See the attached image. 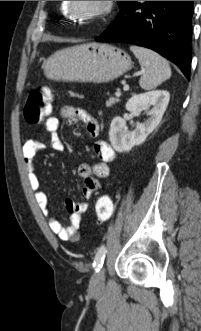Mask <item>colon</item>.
Wrapping results in <instances>:
<instances>
[{
  "label": "colon",
  "mask_w": 201,
  "mask_h": 331,
  "mask_svg": "<svg viewBox=\"0 0 201 331\" xmlns=\"http://www.w3.org/2000/svg\"><path fill=\"white\" fill-rule=\"evenodd\" d=\"M51 113V96L43 90H33L29 93L25 107L24 118L30 124H39L49 117ZM114 205L107 195L98 198L95 213L98 222L108 221L113 215Z\"/></svg>",
  "instance_id": "5ec220e1"
}]
</instances>
